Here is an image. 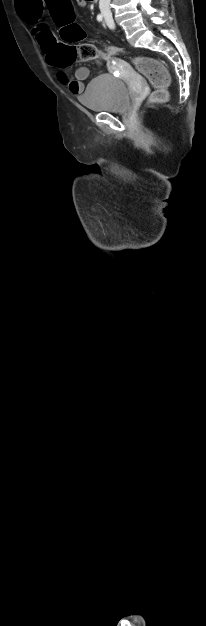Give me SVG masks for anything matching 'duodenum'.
<instances>
[{"mask_svg":"<svg viewBox=\"0 0 206 626\" xmlns=\"http://www.w3.org/2000/svg\"><path fill=\"white\" fill-rule=\"evenodd\" d=\"M90 1L93 2V3H96L98 0H90Z\"/></svg>","mask_w":206,"mask_h":626,"instance_id":"obj_1","label":"duodenum"}]
</instances>
